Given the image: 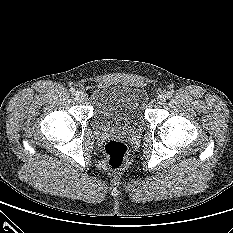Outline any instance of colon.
<instances>
[{
    "mask_svg": "<svg viewBox=\"0 0 233 233\" xmlns=\"http://www.w3.org/2000/svg\"><path fill=\"white\" fill-rule=\"evenodd\" d=\"M127 146L120 141H109L103 147V163L108 170H119L127 159Z\"/></svg>",
    "mask_w": 233,
    "mask_h": 233,
    "instance_id": "colon-1",
    "label": "colon"
}]
</instances>
